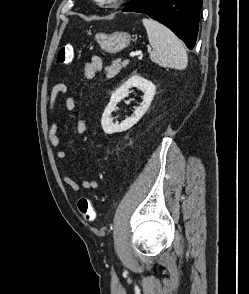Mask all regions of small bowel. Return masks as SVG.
<instances>
[{"mask_svg": "<svg viewBox=\"0 0 249 294\" xmlns=\"http://www.w3.org/2000/svg\"><path fill=\"white\" fill-rule=\"evenodd\" d=\"M103 69V60L99 56H92L90 61L86 62L82 66L84 76L88 80H92L99 74ZM68 92V84L62 82L53 87L49 100L48 108L49 111H52L58 102L60 97H63ZM65 108L68 111H73L76 108V101L73 97L68 96L65 98ZM88 130V125L85 120L79 119L76 123V131L79 134H85ZM49 141L53 147H58L60 145V136L58 130L57 120H53L49 127ZM57 158L60 161L67 159V153L63 149L57 151ZM62 182L67 185L72 191L80 192L82 189L95 190L99 187V182L94 179H84L80 183L77 182L74 178L69 176L67 173H62L61 175Z\"/></svg>", "mask_w": 249, "mask_h": 294, "instance_id": "obj_1", "label": "small bowel"}]
</instances>
